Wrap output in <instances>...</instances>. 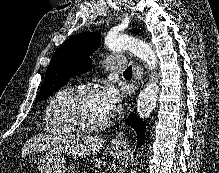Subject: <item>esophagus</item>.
<instances>
[{
	"label": "esophagus",
	"mask_w": 219,
	"mask_h": 173,
	"mask_svg": "<svg viewBox=\"0 0 219 173\" xmlns=\"http://www.w3.org/2000/svg\"><path fill=\"white\" fill-rule=\"evenodd\" d=\"M137 79L140 80L142 78V69L139 65L135 68ZM127 143V139L125 137V133L123 130L118 132L116 136L112 139V144L116 146H123Z\"/></svg>",
	"instance_id": "1"
}]
</instances>
